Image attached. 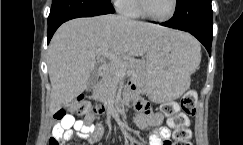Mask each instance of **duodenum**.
Listing matches in <instances>:
<instances>
[{"instance_id":"410a0bca","label":"duodenum","mask_w":243,"mask_h":145,"mask_svg":"<svg viewBox=\"0 0 243 145\" xmlns=\"http://www.w3.org/2000/svg\"><path fill=\"white\" fill-rule=\"evenodd\" d=\"M107 68L106 66H101L100 69H99V74H104L106 72ZM105 107H106V104L105 103H100L95 111L98 112V113H102L104 110H105Z\"/></svg>"}]
</instances>
